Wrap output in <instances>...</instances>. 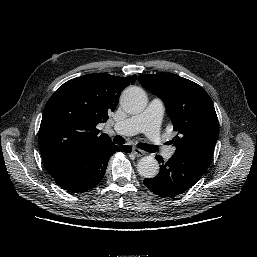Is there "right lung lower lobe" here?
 Wrapping results in <instances>:
<instances>
[{
	"label": "right lung lower lobe",
	"mask_w": 257,
	"mask_h": 257,
	"mask_svg": "<svg viewBox=\"0 0 257 257\" xmlns=\"http://www.w3.org/2000/svg\"><path fill=\"white\" fill-rule=\"evenodd\" d=\"M131 149V146H116L111 143L68 161L50 172V175L63 189L73 193H83L102 180L112 154L118 151L128 153Z\"/></svg>",
	"instance_id": "right-lung-lower-lobe-1"
}]
</instances>
